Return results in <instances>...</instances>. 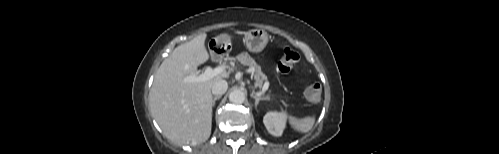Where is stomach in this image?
I'll return each instance as SVG.
<instances>
[{
	"mask_svg": "<svg viewBox=\"0 0 499 154\" xmlns=\"http://www.w3.org/2000/svg\"><path fill=\"white\" fill-rule=\"evenodd\" d=\"M217 45L227 49L231 45L230 36L223 34L215 38ZM244 41L249 51L261 52L268 44V33L263 29H253L245 34Z\"/></svg>",
	"mask_w": 499,
	"mask_h": 154,
	"instance_id": "stomach-1",
	"label": "stomach"
}]
</instances>
